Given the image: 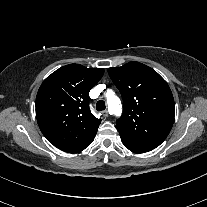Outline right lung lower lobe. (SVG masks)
<instances>
[{"label":"right lung lower lobe","mask_w":207,"mask_h":207,"mask_svg":"<svg viewBox=\"0 0 207 207\" xmlns=\"http://www.w3.org/2000/svg\"><path fill=\"white\" fill-rule=\"evenodd\" d=\"M95 137V136H94ZM94 137L93 138H91L90 140H88L86 143H84L81 147H79L76 151H74V152H79V151H82V150H84L85 148H87L89 145H90V143L93 141V139H94ZM73 152V153H74Z\"/></svg>","instance_id":"obj_1"}]
</instances>
